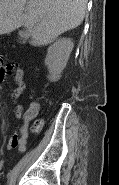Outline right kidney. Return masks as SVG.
Listing matches in <instances>:
<instances>
[{
  "instance_id": "obj_1",
  "label": "right kidney",
  "mask_w": 119,
  "mask_h": 185,
  "mask_svg": "<svg viewBox=\"0 0 119 185\" xmlns=\"http://www.w3.org/2000/svg\"><path fill=\"white\" fill-rule=\"evenodd\" d=\"M71 39H59L52 44L47 51L45 65L48 67L50 81H56L61 77V72L66 67L73 49Z\"/></svg>"
}]
</instances>
